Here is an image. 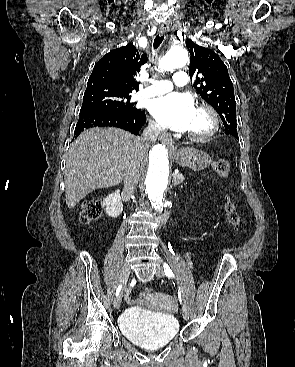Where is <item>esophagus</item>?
Instances as JSON below:
<instances>
[{"instance_id":"1","label":"esophagus","mask_w":295,"mask_h":367,"mask_svg":"<svg viewBox=\"0 0 295 367\" xmlns=\"http://www.w3.org/2000/svg\"><path fill=\"white\" fill-rule=\"evenodd\" d=\"M169 31V27L168 25H162L159 29V35H165L167 32ZM160 139L170 148V149H174L173 148V139L172 137L167 134V133H163L160 137Z\"/></svg>"}]
</instances>
